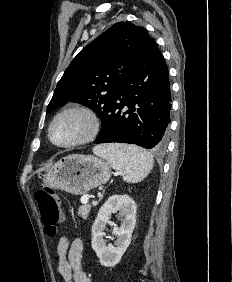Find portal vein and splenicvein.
Masks as SVG:
<instances>
[{"label":"portal vein and splenic vein","instance_id":"1","mask_svg":"<svg viewBox=\"0 0 232 282\" xmlns=\"http://www.w3.org/2000/svg\"><path fill=\"white\" fill-rule=\"evenodd\" d=\"M90 198V195L89 194H85L81 197V203L83 204H87L88 203V200ZM96 204V203H95Z\"/></svg>","mask_w":232,"mask_h":282}]
</instances>
